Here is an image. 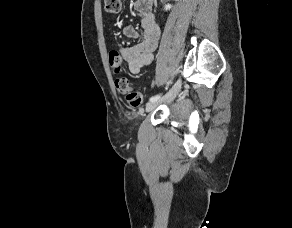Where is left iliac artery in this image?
<instances>
[{
    "label": "left iliac artery",
    "mask_w": 292,
    "mask_h": 228,
    "mask_svg": "<svg viewBox=\"0 0 292 228\" xmlns=\"http://www.w3.org/2000/svg\"><path fill=\"white\" fill-rule=\"evenodd\" d=\"M161 94H158V95H155V96H152L150 99H149V101L150 102H154V101H157V100H159L160 98H161Z\"/></svg>",
    "instance_id": "44dca946"
}]
</instances>
